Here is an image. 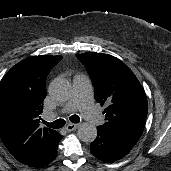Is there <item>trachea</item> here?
<instances>
[{
  "label": "trachea",
  "mask_w": 171,
  "mask_h": 171,
  "mask_svg": "<svg viewBox=\"0 0 171 171\" xmlns=\"http://www.w3.org/2000/svg\"><path fill=\"white\" fill-rule=\"evenodd\" d=\"M69 119L72 123H79L80 122V118L77 115H72ZM43 123L50 128L59 129V128H62L66 122L64 119H58L52 123H49L46 121H43Z\"/></svg>",
  "instance_id": "obj_1"
}]
</instances>
